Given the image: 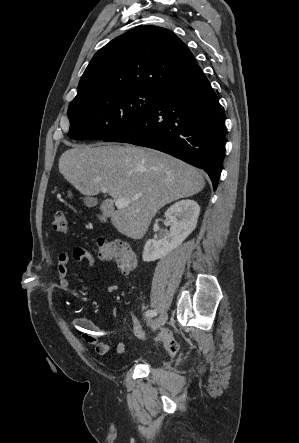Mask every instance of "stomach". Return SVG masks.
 <instances>
[{
	"instance_id": "stomach-1",
	"label": "stomach",
	"mask_w": 299,
	"mask_h": 443,
	"mask_svg": "<svg viewBox=\"0 0 299 443\" xmlns=\"http://www.w3.org/2000/svg\"><path fill=\"white\" fill-rule=\"evenodd\" d=\"M69 196H72L71 192H69Z\"/></svg>"
}]
</instances>
